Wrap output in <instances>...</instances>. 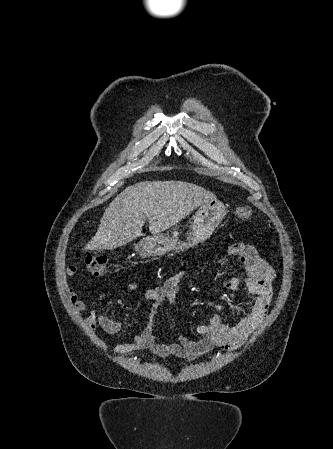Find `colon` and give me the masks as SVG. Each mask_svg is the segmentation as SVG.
Listing matches in <instances>:
<instances>
[{
    "label": "colon",
    "mask_w": 333,
    "mask_h": 449,
    "mask_svg": "<svg viewBox=\"0 0 333 449\" xmlns=\"http://www.w3.org/2000/svg\"><path fill=\"white\" fill-rule=\"evenodd\" d=\"M235 215L240 220H249L252 217V210L248 206L238 207ZM85 268L93 275H102L106 270L107 257L102 254H88L83 257Z\"/></svg>",
    "instance_id": "1"
}]
</instances>
